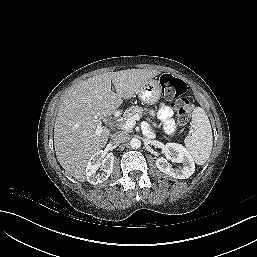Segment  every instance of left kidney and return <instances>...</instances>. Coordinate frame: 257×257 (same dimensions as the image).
<instances>
[{"label": "left kidney", "instance_id": "1", "mask_svg": "<svg viewBox=\"0 0 257 257\" xmlns=\"http://www.w3.org/2000/svg\"><path fill=\"white\" fill-rule=\"evenodd\" d=\"M164 150L167 159L160 157L156 160V166L161 172L176 179H187L194 173V160L181 144L167 143ZM168 158L174 163H181L182 166L174 168Z\"/></svg>", "mask_w": 257, "mask_h": 257}]
</instances>
